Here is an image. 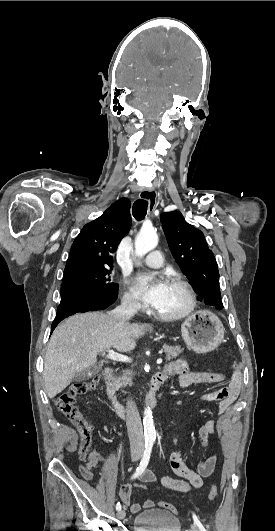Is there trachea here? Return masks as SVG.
<instances>
[{"label":"trachea","mask_w":275,"mask_h":531,"mask_svg":"<svg viewBox=\"0 0 275 531\" xmlns=\"http://www.w3.org/2000/svg\"><path fill=\"white\" fill-rule=\"evenodd\" d=\"M148 202L145 199H137L133 204L132 214L137 221H142L147 214Z\"/></svg>","instance_id":"trachea-1"}]
</instances>
